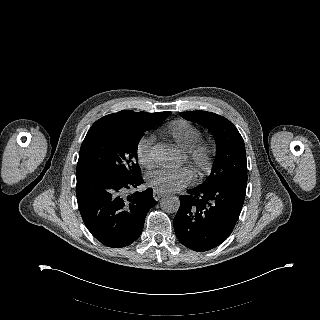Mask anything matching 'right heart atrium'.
Wrapping results in <instances>:
<instances>
[{"label":"right heart atrium","instance_id":"d8ad5b80","mask_svg":"<svg viewBox=\"0 0 320 320\" xmlns=\"http://www.w3.org/2000/svg\"><path fill=\"white\" fill-rule=\"evenodd\" d=\"M152 145L151 138H142L137 145V156L141 164H148L151 160L150 149Z\"/></svg>","mask_w":320,"mask_h":320}]
</instances>
